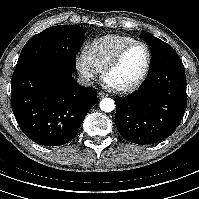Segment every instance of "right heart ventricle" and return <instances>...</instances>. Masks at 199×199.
Wrapping results in <instances>:
<instances>
[{"label": "right heart ventricle", "instance_id": "right-heart-ventricle-1", "mask_svg": "<svg viewBox=\"0 0 199 199\" xmlns=\"http://www.w3.org/2000/svg\"><path fill=\"white\" fill-rule=\"evenodd\" d=\"M133 41L135 39L130 36L106 35L92 41L87 46V52L96 67L102 71L121 48Z\"/></svg>", "mask_w": 199, "mask_h": 199}]
</instances>
